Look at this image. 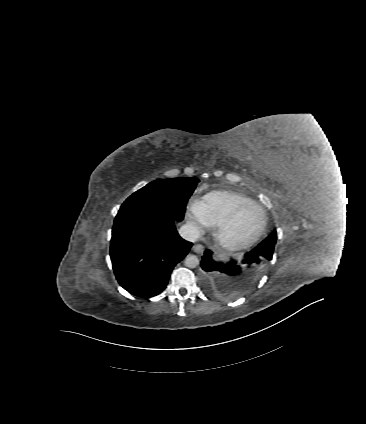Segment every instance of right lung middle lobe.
I'll return each mask as SVG.
<instances>
[{
  "label": "right lung middle lobe",
  "mask_w": 366,
  "mask_h": 424,
  "mask_svg": "<svg viewBox=\"0 0 366 424\" xmlns=\"http://www.w3.org/2000/svg\"><path fill=\"white\" fill-rule=\"evenodd\" d=\"M198 182L195 177L152 181L128 197L116 217L140 212H158L167 215L171 220L182 221L187 201Z\"/></svg>",
  "instance_id": "1"
}]
</instances>
